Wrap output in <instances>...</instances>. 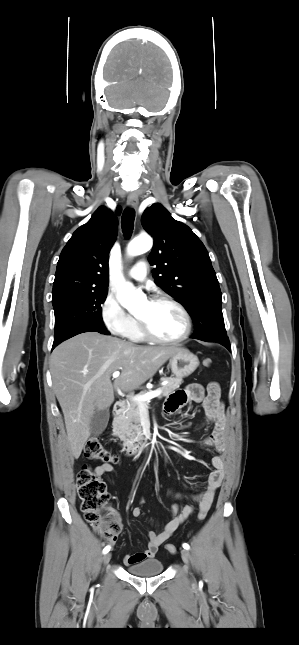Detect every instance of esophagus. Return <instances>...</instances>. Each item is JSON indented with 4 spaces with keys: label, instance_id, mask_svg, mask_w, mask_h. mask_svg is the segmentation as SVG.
I'll return each mask as SVG.
<instances>
[{
    "label": "esophagus",
    "instance_id": "34e87169",
    "mask_svg": "<svg viewBox=\"0 0 299 645\" xmlns=\"http://www.w3.org/2000/svg\"><path fill=\"white\" fill-rule=\"evenodd\" d=\"M139 200L135 194H130L127 198V205L136 208L138 206Z\"/></svg>",
    "mask_w": 299,
    "mask_h": 645
}]
</instances>
